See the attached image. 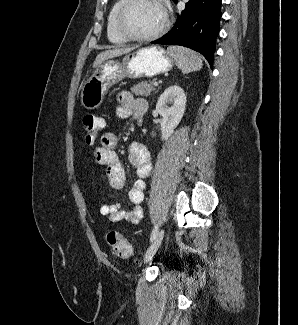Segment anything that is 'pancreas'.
Masks as SVG:
<instances>
[{"mask_svg":"<svg viewBox=\"0 0 298 325\" xmlns=\"http://www.w3.org/2000/svg\"><path fill=\"white\" fill-rule=\"evenodd\" d=\"M130 90L134 92L136 96H149L155 88L153 80H142V82H137V84L131 86Z\"/></svg>","mask_w":298,"mask_h":325,"instance_id":"obj_1","label":"pancreas"}]
</instances>
